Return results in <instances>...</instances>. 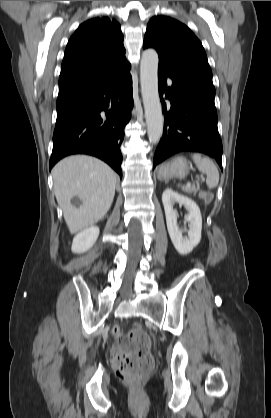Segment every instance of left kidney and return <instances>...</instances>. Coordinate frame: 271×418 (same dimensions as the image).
<instances>
[{
    "instance_id": "1",
    "label": "left kidney",
    "mask_w": 271,
    "mask_h": 418,
    "mask_svg": "<svg viewBox=\"0 0 271 418\" xmlns=\"http://www.w3.org/2000/svg\"><path fill=\"white\" fill-rule=\"evenodd\" d=\"M162 202L166 215L167 229L175 249L181 255L190 253L201 240L202 217L198 205L190 198L180 195L172 189H165L162 194ZM179 203L188 210L186 221L189 224L187 236L183 237L182 231L177 225L178 213L173 205Z\"/></svg>"
}]
</instances>
